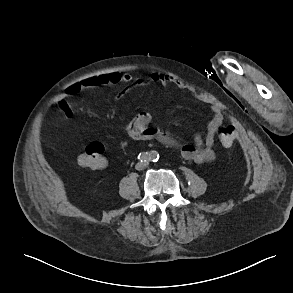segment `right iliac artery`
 Returning <instances> with one entry per match:
<instances>
[{
  "instance_id": "1",
  "label": "right iliac artery",
  "mask_w": 293,
  "mask_h": 293,
  "mask_svg": "<svg viewBox=\"0 0 293 293\" xmlns=\"http://www.w3.org/2000/svg\"><path fill=\"white\" fill-rule=\"evenodd\" d=\"M150 157H151V154L149 152H142L138 155V159L141 161V162H146V161H149L150 160Z\"/></svg>"
}]
</instances>
